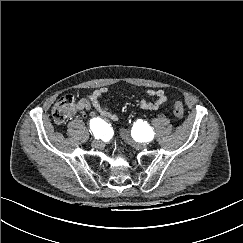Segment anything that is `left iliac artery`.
I'll use <instances>...</instances> for the list:
<instances>
[{
	"label": "left iliac artery",
	"instance_id": "obj_1",
	"mask_svg": "<svg viewBox=\"0 0 243 243\" xmlns=\"http://www.w3.org/2000/svg\"><path fill=\"white\" fill-rule=\"evenodd\" d=\"M132 135H133L134 139L137 140V141H141V137H143V136H145V137H143V139L147 138V140H151L154 137L153 132H149L147 134H145V133L142 134V133H139V132L137 133V127L136 126H134L133 129H132Z\"/></svg>",
	"mask_w": 243,
	"mask_h": 243
}]
</instances>
